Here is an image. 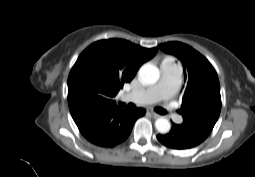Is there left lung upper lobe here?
Masks as SVG:
<instances>
[{
  "label": "left lung upper lobe",
  "mask_w": 255,
  "mask_h": 177,
  "mask_svg": "<svg viewBox=\"0 0 255 177\" xmlns=\"http://www.w3.org/2000/svg\"><path fill=\"white\" fill-rule=\"evenodd\" d=\"M165 53L176 56L184 67L182 125L208 136L221 111L220 84L210 62L190 46L180 42L159 45Z\"/></svg>",
  "instance_id": "1"
}]
</instances>
